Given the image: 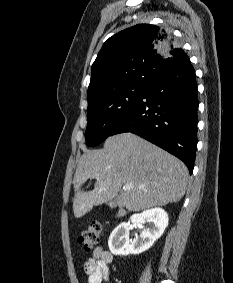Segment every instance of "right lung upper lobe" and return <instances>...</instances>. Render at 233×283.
<instances>
[{
	"instance_id": "right-lung-upper-lobe-1",
	"label": "right lung upper lobe",
	"mask_w": 233,
	"mask_h": 283,
	"mask_svg": "<svg viewBox=\"0 0 233 283\" xmlns=\"http://www.w3.org/2000/svg\"><path fill=\"white\" fill-rule=\"evenodd\" d=\"M186 56L163 28L139 24L125 29L104 43L92 65L88 105L126 86H148Z\"/></svg>"
}]
</instances>
